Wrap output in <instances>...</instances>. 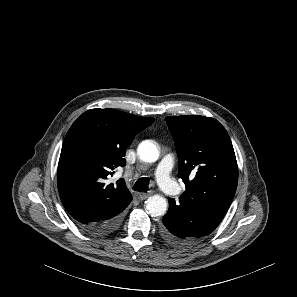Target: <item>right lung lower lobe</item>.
<instances>
[{"mask_svg":"<svg viewBox=\"0 0 297 297\" xmlns=\"http://www.w3.org/2000/svg\"><path fill=\"white\" fill-rule=\"evenodd\" d=\"M121 212L109 215L102 221L90 223L88 225H80V227L85 232L96 236H104L111 234L120 226L122 220Z\"/></svg>","mask_w":297,"mask_h":297,"instance_id":"1","label":"right lung lower lobe"}]
</instances>
